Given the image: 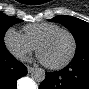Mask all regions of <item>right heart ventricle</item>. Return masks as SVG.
Segmentation results:
<instances>
[{
    "instance_id": "right-heart-ventricle-1",
    "label": "right heart ventricle",
    "mask_w": 89,
    "mask_h": 89,
    "mask_svg": "<svg viewBox=\"0 0 89 89\" xmlns=\"http://www.w3.org/2000/svg\"><path fill=\"white\" fill-rule=\"evenodd\" d=\"M59 28L60 26L55 23L42 22L28 24L23 27V34L34 46H36L44 35Z\"/></svg>"
}]
</instances>
